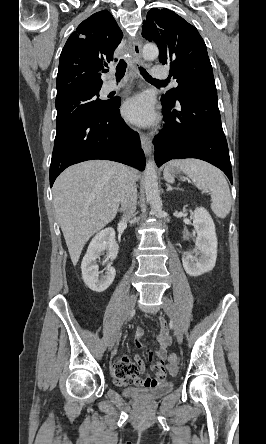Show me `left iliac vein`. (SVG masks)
Returning <instances> with one entry per match:
<instances>
[{
	"label": "left iliac vein",
	"instance_id": "obj_1",
	"mask_svg": "<svg viewBox=\"0 0 266 444\" xmlns=\"http://www.w3.org/2000/svg\"><path fill=\"white\" fill-rule=\"evenodd\" d=\"M162 307L173 323L174 334L176 336L177 342L181 344L183 340V333L177 319V314L174 305L172 301L166 296L163 297Z\"/></svg>",
	"mask_w": 266,
	"mask_h": 444
}]
</instances>
